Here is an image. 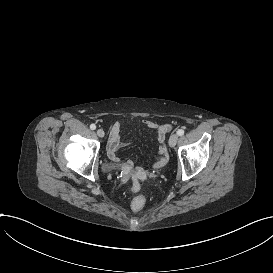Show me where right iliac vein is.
Here are the masks:
<instances>
[{
  "label": "right iliac vein",
  "instance_id": "1",
  "mask_svg": "<svg viewBox=\"0 0 273 273\" xmlns=\"http://www.w3.org/2000/svg\"><path fill=\"white\" fill-rule=\"evenodd\" d=\"M96 133L99 137H104V135H105V133L102 129H98Z\"/></svg>",
  "mask_w": 273,
  "mask_h": 273
}]
</instances>
